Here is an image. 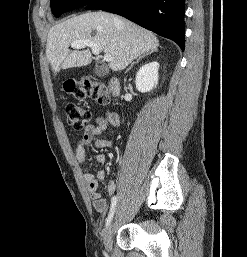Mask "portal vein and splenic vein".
<instances>
[{
  "label": "portal vein and splenic vein",
  "mask_w": 247,
  "mask_h": 257,
  "mask_svg": "<svg viewBox=\"0 0 247 257\" xmlns=\"http://www.w3.org/2000/svg\"><path fill=\"white\" fill-rule=\"evenodd\" d=\"M72 48L76 49H81L85 47H90L92 49V52L96 55H99L101 53V49L98 45H96L93 41L91 40H79L71 43ZM104 60L107 62L112 61V56L111 55H104Z\"/></svg>",
  "instance_id": "18ae733b"
}]
</instances>
